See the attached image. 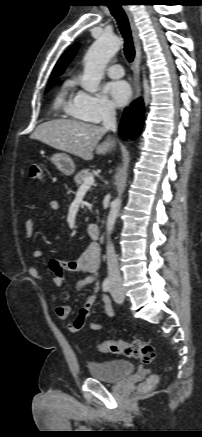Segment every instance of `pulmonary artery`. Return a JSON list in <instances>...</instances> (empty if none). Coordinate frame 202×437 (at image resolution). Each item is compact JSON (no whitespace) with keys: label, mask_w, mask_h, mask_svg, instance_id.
I'll return each instance as SVG.
<instances>
[{"label":"pulmonary artery","mask_w":202,"mask_h":437,"mask_svg":"<svg viewBox=\"0 0 202 437\" xmlns=\"http://www.w3.org/2000/svg\"><path fill=\"white\" fill-rule=\"evenodd\" d=\"M107 74L114 79L121 78L124 75V69L120 64H114L107 68Z\"/></svg>","instance_id":"obj_1"}]
</instances>
